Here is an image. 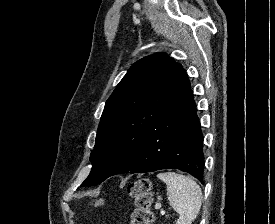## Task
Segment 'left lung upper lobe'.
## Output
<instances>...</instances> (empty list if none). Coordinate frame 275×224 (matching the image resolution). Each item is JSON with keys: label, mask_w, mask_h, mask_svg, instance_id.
<instances>
[{"label": "left lung upper lobe", "mask_w": 275, "mask_h": 224, "mask_svg": "<svg viewBox=\"0 0 275 224\" xmlns=\"http://www.w3.org/2000/svg\"><path fill=\"white\" fill-rule=\"evenodd\" d=\"M189 89L184 68L165 53L134 63L106 102L90 155L93 167L81 186L126 173L149 135Z\"/></svg>", "instance_id": "obj_1"}]
</instances>
